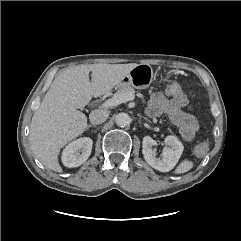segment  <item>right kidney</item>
Wrapping results in <instances>:
<instances>
[{
	"mask_svg": "<svg viewBox=\"0 0 241 241\" xmlns=\"http://www.w3.org/2000/svg\"><path fill=\"white\" fill-rule=\"evenodd\" d=\"M93 141L89 137L79 138L69 143L62 152L64 166L73 168L82 165L90 156Z\"/></svg>",
	"mask_w": 241,
	"mask_h": 241,
	"instance_id": "ca27d5eb",
	"label": "right kidney"
}]
</instances>
